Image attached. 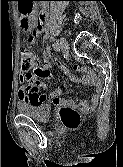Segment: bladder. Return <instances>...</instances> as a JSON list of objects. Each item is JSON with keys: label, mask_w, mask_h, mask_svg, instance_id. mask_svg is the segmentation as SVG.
<instances>
[{"label": "bladder", "mask_w": 123, "mask_h": 167, "mask_svg": "<svg viewBox=\"0 0 123 167\" xmlns=\"http://www.w3.org/2000/svg\"><path fill=\"white\" fill-rule=\"evenodd\" d=\"M19 112L25 116H28L36 121H47L51 118V104L47 102H41L31 104L27 102H19L17 104Z\"/></svg>", "instance_id": "1"}]
</instances>
